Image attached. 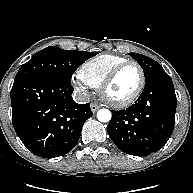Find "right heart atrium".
Instances as JSON below:
<instances>
[{"mask_svg": "<svg viewBox=\"0 0 193 193\" xmlns=\"http://www.w3.org/2000/svg\"><path fill=\"white\" fill-rule=\"evenodd\" d=\"M72 83H73V85H74L76 88H78L79 90L87 93V88L85 87L84 82L80 79L79 76H74V77L72 78Z\"/></svg>", "mask_w": 193, "mask_h": 193, "instance_id": "1", "label": "right heart atrium"}]
</instances>
